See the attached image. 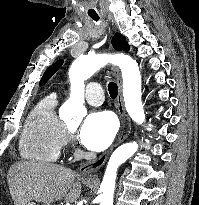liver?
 I'll list each match as a JSON object with an SVG mask.
<instances>
[{
	"label": "liver",
	"instance_id": "obj_1",
	"mask_svg": "<svg viewBox=\"0 0 199 205\" xmlns=\"http://www.w3.org/2000/svg\"><path fill=\"white\" fill-rule=\"evenodd\" d=\"M70 168L48 162L19 161L8 171V185L15 205L30 201L50 205L64 198L74 202L81 194L80 180Z\"/></svg>",
	"mask_w": 199,
	"mask_h": 205
}]
</instances>
